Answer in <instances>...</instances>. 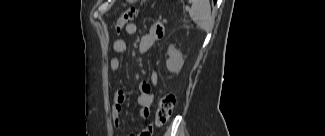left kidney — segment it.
<instances>
[{
	"mask_svg": "<svg viewBox=\"0 0 325 136\" xmlns=\"http://www.w3.org/2000/svg\"><path fill=\"white\" fill-rule=\"evenodd\" d=\"M167 54L169 55L166 60L167 69L172 73H178L184 64L182 53L174 45H170Z\"/></svg>",
	"mask_w": 325,
	"mask_h": 136,
	"instance_id": "1",
	"label": "left kidney"
}]
</instances>
